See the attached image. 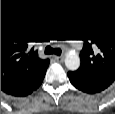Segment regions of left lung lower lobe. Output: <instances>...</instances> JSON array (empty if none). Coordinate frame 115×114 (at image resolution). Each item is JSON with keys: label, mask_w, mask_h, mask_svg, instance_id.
I'll list each match as a JSON object with an SVG mask.
<instances>
[{"label": "left lung lower lobe", "mask_w": 115, "mask_h": 114, "mask_svg": "<svg viewBox=\"0 0 115 114\" xmlns=\"http://www.w3.org/2000/svg\"><path fill=\"white\" fill-rule=\"evenodd\" d=\"M68 77L76 88L87 93L100 92L110 85L103 81L78 77L71 72L68 73Z\"/></svg>", "instance_id": "0a47b994"}]
</instances>
